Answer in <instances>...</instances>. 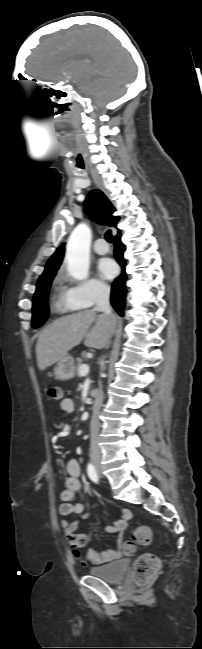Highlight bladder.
I'll list each match as a JSON object with an SVG mask.
<instances>
[{
  "label": "bladder",
  "instance_id": "1",
  "mask_svg": "<svg viewBox=\"0 0 202 649\" xmlns=\"http://www.w3.org/2000/svg\"><path fill=\"white\" fill-rule=\"evenodd\" d=\"M128 566L129 561L127 559H120L110 564L92 568L90 575L105 582L114 583L123 578Z\"/></svg>",
  "mask_w": 202,
  "mask_h": 649
}]
</instances>
